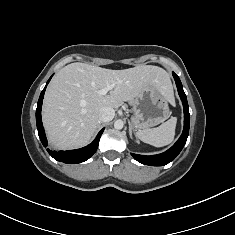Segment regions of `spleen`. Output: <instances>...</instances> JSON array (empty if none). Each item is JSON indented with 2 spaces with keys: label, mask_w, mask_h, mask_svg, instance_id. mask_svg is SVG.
Listing matches in <instances>:
<instances>
[{
  "label": "spleen",
  "mask_w": 235,
  "mask_h": 235,
  "mask_svg": "<svg viewBox=\"0 0 235 235\" xmlns=\"http://www.w3.org/2000/svg\"><path fill=\"white\" fill-rule=\"evenodd\" d=\"M177 118L171 117L168 121L153 129L137 132V137L152 146L163 147L174 140Z\"/></svg>",
  "instance_id": "1"
}]
</instances>
